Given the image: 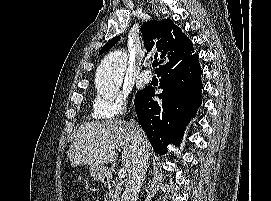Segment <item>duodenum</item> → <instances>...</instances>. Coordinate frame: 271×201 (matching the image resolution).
Listing matches in <instances>:
<instances>
[{
  "mask_svg": "<svg viewBox=\"0 0 271 201\" xmlns=\"http://www.w3.org/2000/svg\"><path fill=\"white\" fill-rule=\"evenodd\" d=\"M112 174L110 172H105L102 180L104 181V183H111L112 182Z\"/></svg>",
  "mask_w": 271,
  "mask_h": 201,
  "instance_id": "duodenum-1",
  "label": "duodenum"
}]
</instances>
